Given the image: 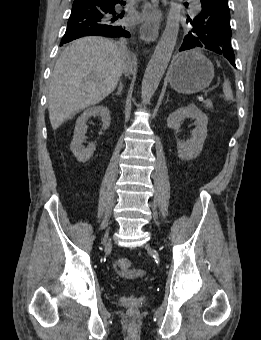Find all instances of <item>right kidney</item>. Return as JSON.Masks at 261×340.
Returning <instances> with one entry per match:
<instances>
[{
    "mask_svg": "<svg viewBox=\"0 0 261 340\" xmlns=\"http://www.w3.org/2000/svg\"><path fill=\"white\" fill-rule=\"evenodd\" d=\"M92 116H100L102 119V129L106 130L111 123L110 111L107 107L97 106L86 109L83 114L78 117L74 129L73 140L70 149L79 162L88 161L96 150L95 143H89L87 147L83 146L85 134L87 132L86 121Z\"/></svg>",
    "mask_w": 261,
    "mask_h": 340,
    "instance_id": "ca27d5eb",
    "label": "right kidney"
}]
</instances>
